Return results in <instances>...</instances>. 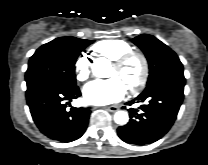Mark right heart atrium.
I'll use <instances>...</instances> for the list:
<instances>
[{"label":"right heart atrium","instance_id":"1","mask_svg":"<svg viewBox=\"0 0 208 165\" xmlns=\"http://www.w3.org/2000/svg\"><path fill=\"white\" fill-rule=\"evenodd\" d=\"M76 78L79 81H85L90 75V62L86 54L80 55L74 65Z\"/></svg>","mask_w":208,"mask_h":165}]
</instances>
